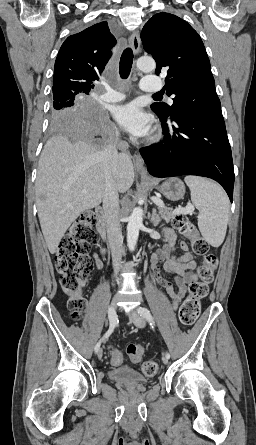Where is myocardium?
Segmentation results:
<instances>
[{
    "label": "myocardium",
    "mask_w": 256,
    "mask_h": 445,
    "mask_svg": "<svg viewBox=\"0 0 256 445\" xmlns=\"http://www.w3.org/2000/svg\"><path fill=\"white\" fill-rule=\"evenodd\" d=\"M159 137H160L159 134L155 133L151 136L150 140L154 142V141H157L159 139Z\"/></svg>",
    "instance_id": "obj_1"
}]
</instances>
